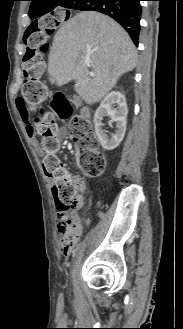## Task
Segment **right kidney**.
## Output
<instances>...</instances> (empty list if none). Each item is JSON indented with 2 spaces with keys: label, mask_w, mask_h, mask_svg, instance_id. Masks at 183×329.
Returning a JSON list of instances; mask_svg holds the SVG:
<instances>
[{
  "label": "right kidney",
  "mask_w": 183,
  "mask_h": 329,
  "mask_svg": "<svg viewBox=\"0 0 183 329\" xmlns=\"http://www.w3.org/2000/svg\"><path fill=\"white\" fill-rule=\"evenodd\" d=\"M128 109L125 96L112 91L102 100L94 115L95 133L99 143L105 150H113L123 140L126 131ZM109 116L115 125V133L106 134L103 129V117Z\"/></svg>",
  "instance_id": "right-kidney-1"
}]
</instances>
